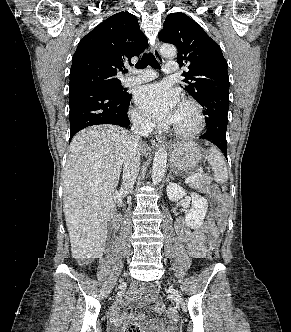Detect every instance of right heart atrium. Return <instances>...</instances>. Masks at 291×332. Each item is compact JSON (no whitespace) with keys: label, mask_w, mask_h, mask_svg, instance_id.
Here are the masks:
<instances>
[{"label":"right heart atrium","mask_w":291,"mask_h":332,"mask_svg":"<svg viewBox=\"0 0 291 332\" xmlns=\"http://www.w3.org/2000/svg\"><path fill=\"white\" fill-rule=\"evenodd\" d=\"M132 119L137 125L141 127H148L150 125L149 122L144 118V116L138 110H134L132 112Z\"/></svg>","instance_id":"d8ad5b80"}]
</instances>
